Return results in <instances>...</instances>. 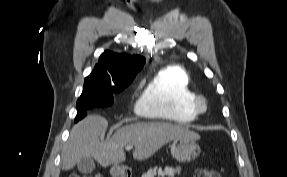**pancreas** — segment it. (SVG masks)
Listing matches in <instances>:
<instances>
[{
    "label": "pancreas",
    "instance_id": "1",
    "mask_svg": "<svg viewBox=\"0 0 287 177\" xmlns=\"http://www.w3.org/2000/svg\"><path fill=\"white\" fill-rule=\"evenodd\" d=\"M181 173V168H171V167H166L164 170L162 168H154L150 169L147 171V173L143 174L142 177H174L175 174H180Z\"/></svg>",
    "mask_w": 287,
    "mask_h": 177
}]
</instances>
